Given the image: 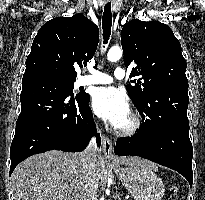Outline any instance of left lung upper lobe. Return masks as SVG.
<instances>
[{"mask_svg":"<svg viewBox=\"0 0 205 200\" xmlns=\"http://www.w3.org/2000/svg\"><path fill=\"white\" fill-rule=\"evenodd\" d=\"M121 43L125 66L136 63L130 77H139L132 80L135 85H127L126 90L146 123L150 119L145 113L148 98L155 88L188 86L186 60L172 30L159 21L131 20L122 28Z\"/></svg>","mask_w":205,"mask_h":200,"instance_id":"left-lung-upper-lobe-1","label":"left lung upper lobe"}]
</instances>
